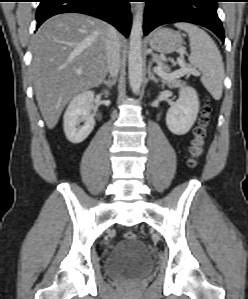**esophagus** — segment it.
Returning <instances> with one entry per match:
<instances>
[{
  "label": "esophagus",
  "instance_id": "34e87169",
  "mask_svg": "<svg viewBox=\"0 0 248 299\" xmlns=\"http://www.w3.org/2000/svg\"><path fill=\"white\" fill-rule=\"evenodd\" d=\"M132 11H134V4H132Z\"/></svg>",
  "mask_w": 248,
  "mask_h": 299
}]
</instances>
